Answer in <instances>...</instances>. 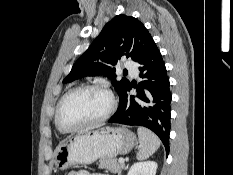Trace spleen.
Here are the masks:
<instances>
[{
	"label": "spleen",
	"mask_w": 233,
	"mask_h": 175,
	"mask_svg": "<svg viewBox=\"0 0 233 175\" xmlns=\"http://www.w3.org/2000/svg\"><path fill=\"white\" fill-rule=\"evenodd\" d=\"M139 137V151L137 153V160H145L149 158L159 147V138L149 129L138 127Z\"/></svg>",
	"instance_id": "1"
}]
</instances>
